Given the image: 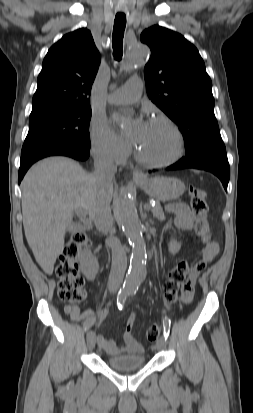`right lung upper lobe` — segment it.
<instances>
[{
	"mask_svg": "<svg viewBox=\"0 0 253 413\" xmlns=\"http://www.w3.org/2000/svg\"><path fill=\"white\" fill-rule=\"evenodd\" d=\"M100 64L91 32L78 29L48 51L37 80L32 112L53 107L90 106V93Z\"/></svg>",
	"mask_w": 253,
	"mask_h": 413,
	"instance_id": "right-lung-upper-lobe-1",
	"label": "right lung upper lobe"
}]
</instances>
